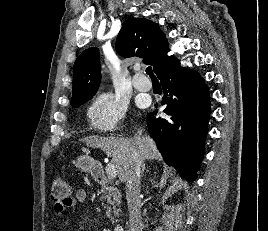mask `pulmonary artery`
Wrapping results in <instances>:
<instances>
[{
	"label": "pulmonary artery",
	"instance_id": "obj_1",
	"mask_svg": "<svg viewBox=\"0 0 268 231\" xmlns=\"http://www.w3.org/2000/svg\"><path fill=\"white\" fill-rule=\"evenodd\" d=\"M133 85L139 92H148L152 86L151 81L141 73L134 76Z\"/></svg>",
	"mask_w": 268,
	"mask_h": 231
}]
</instances>
